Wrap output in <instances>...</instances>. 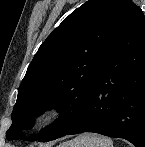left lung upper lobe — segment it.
<instances>
[{
    "label": "left lung upper lobe",
    "instance_id": "obj_1",
    "mask_svg": "<svg viewBox=\"0 0 145 147\" xmlns=\"http://www.w3.org/2000/svg\"><path fill=\"white\" fill-rule=\"evenodd\" d=\"M130 0H88L39 47L18 89L9 140L22 137L33 119L50 108L59 118L30 141L46 142L81 118L101 69L125 20Z\"/></svg>",
    "mask_w": 145,
    "mask_h": 147
}]
</instances>
